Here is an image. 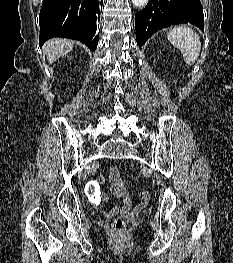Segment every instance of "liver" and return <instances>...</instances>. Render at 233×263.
<instances>
[{"instance_id": "obj_1", "label": "liver", "mask_w": 233, "mask_h": 263, "mask_svg": "<svg viewBox=\"0 0 233 263\" xmlns=\"http://www.w3.org/2000/svg\"><path fill=\"white\" fill-rule=\"evenodd\" d=\"M74 42L68 39L55 38L48 40L44 49L46 51L47 60L50 64L72 51Z\"/></svg>"}]
</instances>
